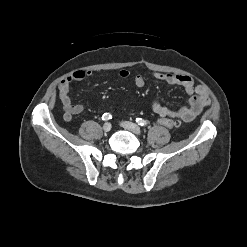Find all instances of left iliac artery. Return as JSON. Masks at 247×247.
<instances>
[{
    "mask_svg": "<svg viewBox=\"0 0 247 247\" xmlns=\"http://www.w3.org/2000/svg\"><path fill=\"white\" fill-rule=\"evenodd\" d=\"M136 122L140 125V126H148V122L146 120H143L142 118H136Z\"/></svg>",
    "mask_w": 247,
    "mask_h": 247,
    "instance_id": "1",
    "label": "left iliac artery"
}]
</instances>
